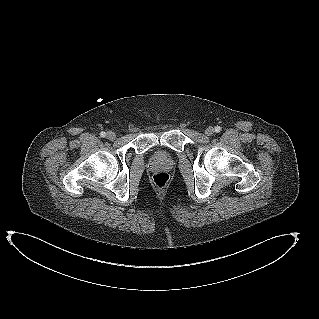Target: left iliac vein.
<instances>
[{"instance_id": "4c4485c4", "label": "left iliac vein", "mask_w": 319, "mask_h": 319, "mask_svg": "<svg viewBox=\"0 0 319 319\" xmlns=\"http://www.w3.org/2000/svg\"><path fill=\"white\" fill-rule=\"evenodd\" d=\"M213 133H214V128H212V127H208L205 130V134L208 135V136H211Z\"/></svg>"}]
</instances>
